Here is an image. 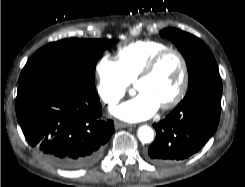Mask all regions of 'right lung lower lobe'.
<instances>
[{
  "label": "right lung lower lobe",
  "instance_id": "right-lung-lower-lobe-1",
  "mask_svg": "<svg viewBox=\"0 0 245 187\" xmlns=\"http://www.w3.org/2000/svg\"><path fill=\"white\" fill-rule=\"evenodd\" d=\"M16 115L29 144L47 162L77 170L96 162L114 132L95 90L43 77L18 86Z\"/></svg>",
  "mask_w": 245,
  "mask_h": 187
}]
</instances>
